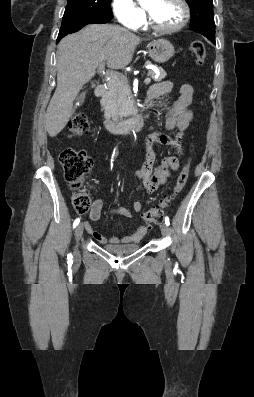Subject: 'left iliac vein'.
Masks as SVG:
<instances>
[{"instance_id":"left-iliac-vein-1","label":"left iliac vein","mask_w":254,"mask_h":397,"mask_svg":"<svg viewBox=\"0 0 254 397\" xmlns=\"http://www.w3.org/2000/svg\"><path fill=\"white\" fill-rule=\"evenodd\" d=\"M160 228H161L162 235L166 236L169 232L168 226L165 223H163V224H161Z\"/></svg>"}]
</instances>
